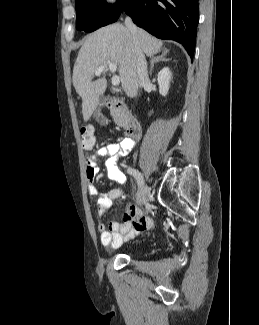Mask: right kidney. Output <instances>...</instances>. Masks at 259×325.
Listing matches in <instances>:
<instances>
[{"mask_svg": "<svg viewBox=\"0 0 259 325\" xmlns=\"http://www.w3.org/2000/svg\"><path fill=\"white\" fill-rule=\"evenodd\" d=\"M171 77L172 74L168 67H164L158 73L157 81L159 85V92L162 96H166L168 94Z\"/></svg>", "mask_w": 259, "mask_h": 325, "instance_id": "1", "label": "right kidney"}]
</instances>
